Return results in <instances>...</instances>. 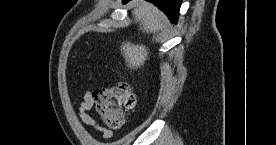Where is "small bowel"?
Wrapping results in <instances>:
<instances>
[{"label":"small bowel","instance_id":"small-bowel-1","mask_svg":"<svg viewBox=\"0 0 276 145\" xmlns=\"http://www.w3.org/2000/svg\"><path fill=\"white\" fill-rule=\"evenodd\" d=\"M94 103L92 99V92L87 90L84 92L83 100L78 108V116L81 121L87 125L93 126L98 129L104 139L108 140L112 137V131L102 126L97 119L89 113Z\"/></svg>","mask_w":276,"mask_h":145}]
</instances>
